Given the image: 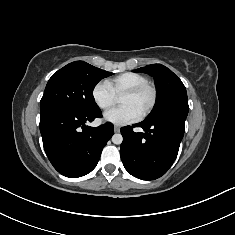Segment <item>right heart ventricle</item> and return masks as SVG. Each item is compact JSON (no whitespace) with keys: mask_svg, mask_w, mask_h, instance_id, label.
<instances>
[{"mask_svg":"<svg viewBox=\"0 0 235 235\" xmlns=\"http://www.w3.org/2000/svg\"><path fill=\"white\" fill-rule=\"evenodd\" d=\"M115 95H120L124 91L139 84L148 82L147 78L136 72H125L107 81Z\"/></svg>","mask_w":235,"mask_h":235,"instance_id":"obj_1","label":"right heart ventricle"}]
</instances>
